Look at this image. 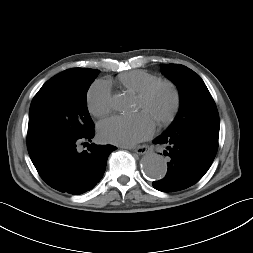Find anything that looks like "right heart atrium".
Instances as JSON below:
<instances>
[{
    "label": "right heart atrium",
    "instance_id": "d8ad5b80",
    "mask_svg": "<svg viewBox=\"0 0 253 253\" xmlns=\"http://www.w3.org/2000/svg\"><path fill=\"white\" fill-rule=\"evenodd\" d=\"M111 88L104 80L94 82L86 95L89 112L95 117H103L111 111Z\"/></svg>",
    "mask_w": 253,
    "mask_h": 253
}]
</instances>
